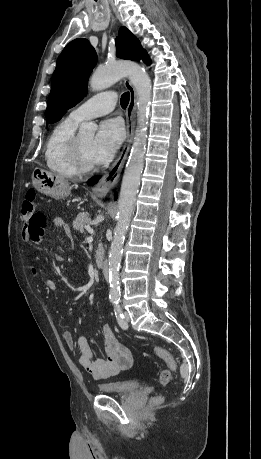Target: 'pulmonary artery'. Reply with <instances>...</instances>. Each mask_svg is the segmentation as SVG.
<instances>
[{
    "label": "pulmonary artery",
    "instance_id": "obj_1",
    "mask_svg": "<svg viewBox=\"0 0 261 459\" xmlns=\"http://www.w3.org/2000/svg\"><path fill=\"white\" fill-rule=\"evenodd\" d=\"M117 96L114 91L100 92L76 107L70 117L81 121L110 113L115 108Z\"/></svg>",
    "mask_w": 261,
    "mask_h": 459
}]
</instances>
